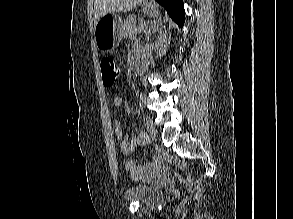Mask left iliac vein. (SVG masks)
<instances>
[{
    "instance_id": "obj_1",
    "label": "left iliac vein",
    "mask_w": 293,
    "mask_h": 219,
    "mask_svg": "<svg viewBox=\"0 0 293 219\" xmlns=\"http://www.w3.org/2000/svg\"><path fill=\"white\" fill-rule=\"evenodd\" d=\"M146 126L151 137L155 138L157 134V130L155 128L152 118L149 115L146 116Z\"/></svg>"
}]
</instances>
